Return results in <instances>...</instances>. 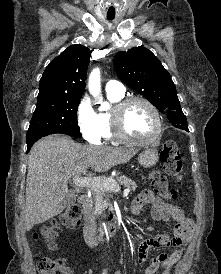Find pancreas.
<instances>
[{"label":"pancreas","mask_w":221,"mask_h":274,"mask_svg":"<svg viewBox=\"0 0 221 274\" xmlns=\"http://www.w3.org/2000/svg\"><path fill=\"white\" fill-rule=\"evenodd\" d=\"M112 181L119 186V184L124 185L127 189L135 191L137 185L134 181L126 176H121L119 179ZM112 190L106 189L104 187L92 188V196L89 199L85 210L90 211L93 215H100L106 208L111 207L109 200V195Z\"/></svg>","instance_id":"cf45deb5"}]
</instances>
